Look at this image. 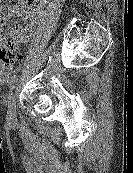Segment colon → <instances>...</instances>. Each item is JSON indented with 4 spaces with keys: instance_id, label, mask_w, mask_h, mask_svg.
<instances>
[{
    "instance_id": "1",
    "label": "colon",
    "mask_w": 133,
    "mask_h": 173,
    "mask_svg": "<svg viewBox=\"0 0 133 173\" xmlns=\"http://www.w3.org/2000/svg\"><path fill=\"white\" fill-rule=\"evenodd\" d=\"M23 43V37L14 36L6 46L0 47V81H5L21 59L19 49Z\"/></svg>"
}]
</instances>
